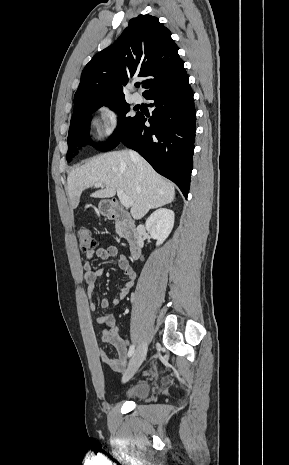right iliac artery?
I'll list each match as a JSON object with an SVG mask.
<instances>
[{
    "instance_id": "obj_1",
    "label": "right iliac artery",
    "mask_w": 289,
    "mask_h": 465,
    "mask_svg": "<svg viewBox=\"0 0 289 465\" xmlns=\"http://www.w3.org/2000/svg\"><path fill=\"white\" fill-rule=\"evenodd\" d=\"M134 350H135V346L131 345L128 351V357H131L133 355Z\"/></svg>"
}]
</instances>
